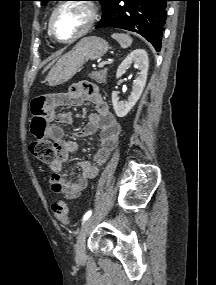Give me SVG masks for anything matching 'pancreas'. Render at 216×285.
Returning <instances> with one entry per match:
<instances>
[{"mask_svg": "<svg viewBox=\"0 0 216 285\" xmlns=\"http://www.w3.org/2000/svg\"><path fill=\"white\" fill-rule=\"evenodd\" d=\"M107 68L100 71H93L89 74V78L96 81L97 83H106Z\"/></svg>", "mask_w": 216, "mask_h": 285, "instance_id": "cf45deb5", "label": "pancreas"}]
</instances>
